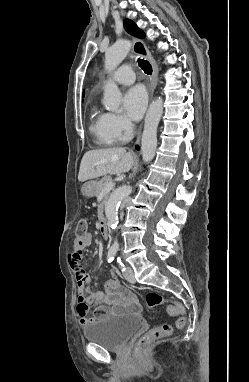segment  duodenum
<instances>
[{
	"mask_svg": "<svg viewBox=\"0 0 249 382\" xmlns=\"http://www.w3.org/2000/svg\"><path fill=\"white\" fill-rule=\"evenodd\" d=\"M98 228L100 231V234L104 237L107 238L109 233H108V226L106 219L104 217H101L98 223Z\"/></svg>",
	"mask_w": 249,
	"mask_h": 382,
	"instance_id": "410a0bca",
	"label": "duodenum"
}]
</instances>
